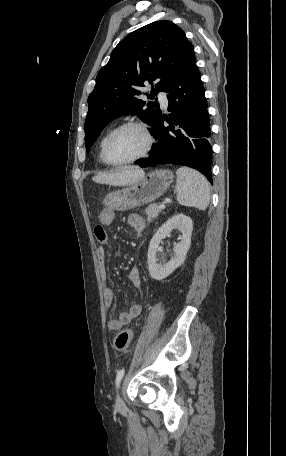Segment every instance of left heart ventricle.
<instances>
[{
    "instance_id": "1",
    "label": "left heart ventricle",
    "mask_w": 286,
    "mask_h": 456,
    "mask_svg": "<svg viewBox=\"0 0 286 456\" xmlns=\"http://www.w3.org/2000/svg\"><path fill=\"white\" fill-rule=\"evenodd\" d=\"M146 146L143 132L129 127L118 132L109 144V157L115 162H122L141 154Z\"/></svg>"
}]
</instances>
